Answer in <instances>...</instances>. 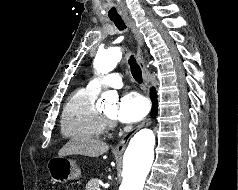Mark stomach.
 <instances>
[{"label":"stomach","mask_w":238,"mask_h":190,"mask_svg":"<svg viewBox=\"0 0 238 190\" xmlns=\"http://www.w3.org/2000/svg\"><path fill=\"white\" fill-rule=\"evenodd\" d=\"M47 169L51 179L59 183L79 179L81 176V170L75 161L64 157H54L49 160Z\"/></svg>","instance_id":"stomach-1"}]
</instances>
